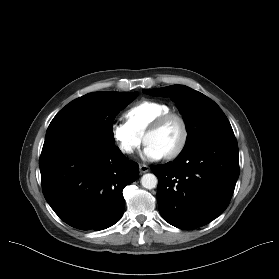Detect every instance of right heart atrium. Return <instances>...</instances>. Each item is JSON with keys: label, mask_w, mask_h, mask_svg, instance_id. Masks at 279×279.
Instances as JSON below:
<instances>
[{"label": "right heart atrium", "mask_w": 279, "mask_h": 279, "mask_svg": "<svg viewBox=\"0 0 279 279\" xmlns=\"http://www.w3.org/2000/svg\"><path fill=\"white\" fill-rule=\"evenodd\" d=\"M111 135L118 150L125 155H133L141 145V137L127 122L113 123Z\"/></svg>", "instance_id": "1"}]
</instances>
